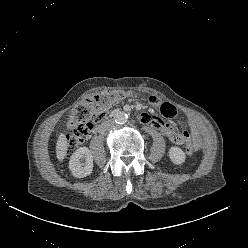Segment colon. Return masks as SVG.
Returning <instances> with one entry per match:
<instances>
[{
	"instance_id": "colon-1",
	"label": "colon",
	"mask_w": 248,
	"mask_h": 248,
	"mask_svg": "<svg viewBox=\"0 0 248 248\" xmlns=\"http://www.w3.org/2000/svg\"><path fill=\"white\" fill-rule=\"evenodd\" d=\"M125 95L121 91L103 92L80 102L73 108L68 118V126L72 129V133L66 137L68 155H72L82 144L84 138L92 132L93 119L107 111L114 102ZM186 151L189 155H194L198 151V146L190 142Z\"/></svg>"
}]
</instances>
